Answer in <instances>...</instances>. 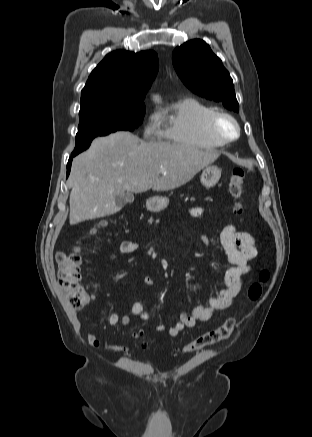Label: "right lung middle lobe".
<instances>
[{"instance_id": "right-lung-middle-lobe-1", "label": "right lung middle lobe", "mask_w": 312, "mask_h": 437, "mask_svg": "<svg viewBox=\"0 0 312 437\" xmlns=\"http://www.w3.org/2000/svg\"><path fill=\"white\" fill-rule=\"evenodd\" d=\"M144 114L145 105L133 108L108 106L81 108L76 146L71 156L86 150L97 136H105L116 131H133L142 123Z\"/></svg>"}]
</instances>
